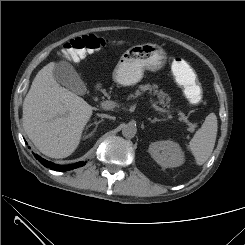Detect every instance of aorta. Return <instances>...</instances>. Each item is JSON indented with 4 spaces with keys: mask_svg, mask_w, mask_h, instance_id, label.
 I'll return each instance as SVG.
<instances>
[{
    "mask_svg": "<svg viewBox=\"0 0 245 245\" xmlns=\"http://www.w3.org/2000/svg\"><path fill=\"white\" fill-rule=\"evenodd\" d=\"M137 128L134 123L125 124L122 128V135L125 138H133L136 135Z\"/></svg>",
    "mask_w": 245,
    "mask_h": 245,
    "instance_id": "1",
    "label": "aorta"
}]
</instances>
